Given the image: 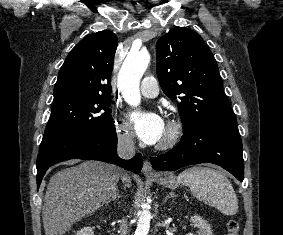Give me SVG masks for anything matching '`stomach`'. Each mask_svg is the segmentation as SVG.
Wrapping results in <instances>:
<instances>
[{"label":"stomach","mask_w":283,"mask_h":235,"mask_svg":"<svg viewBox=\"0 0 283 235\" xmlns=\"http://www.w3.org/2000/svg\"><path fill=\"white\" fill-rule=\"evenodd\" d=\"M153 180H155V182H157L158 184L171 188V189H174L178 187L179 185L174 175H169L167 177H161V178L153 177Z\"/></svg>","instance_id":"obj_1"}]
</instances>
